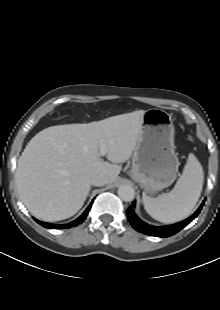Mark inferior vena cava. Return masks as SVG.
I'll return each mask as SVG.
<instances>
[{"label":"inferior vena cava","mask_w":220,"mask_h":310,"mask_svg":"<svg viewBox=\"0 0 220 310\" xmlns=\"http://www.w3.org/2000/svg\"><path fill=\"white\" fill-rule=\"evenodd\" d=\"M108 183V178L102 174L94 175L91 178V184L94 186H104Z\"/></svg>","instance_id":"1"}]
</instances>
